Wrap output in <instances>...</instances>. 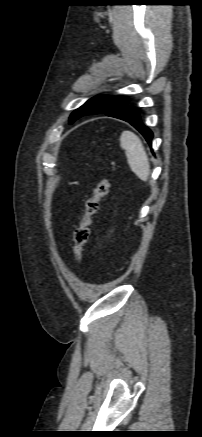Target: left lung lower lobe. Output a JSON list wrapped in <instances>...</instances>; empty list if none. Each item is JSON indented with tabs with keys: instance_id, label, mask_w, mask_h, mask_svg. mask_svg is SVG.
<instances>
[{
	"instance_id": "obj_1",
	"label": "left lung lower lobe",
	"mask_w": 202,
	"mask_h": 437,
	"mask_svg": "<svg viewBox=\"0 0 202 437\" xmlns=\"http://www.w3.org/2000/svg\"><path fill=\"white\" fill-rule=\"evenodd\" d=\"M106 115L129 122L135 129H137L144 136V138L149 143V145L152 144L151 141L153 138V133L148 127H146L142 123L137 108L125 104L124 106H121L113 111L106 113Z\"/></svg>"
}]
</instances>
